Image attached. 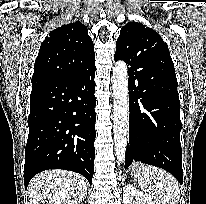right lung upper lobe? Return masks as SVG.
I'll return each mask as SVG.
<instances>
[{
    "label": "right lung upper lobe",
    "instance_id": "cb5924a9",
    "mask_svg": "<svg viewBox=\"0 0 206 204\" xmlns=\"http://www.w3.org/2000/svg\"><path fill=\"white\" fill-rule=\"evenodd\" d=\"M95 64L93 42L80 22L51 31L35 61L32 88L74 77Z\"/></svg>",
    "mask_w": 206,
    "mask_h": 204
}]
</instances>
